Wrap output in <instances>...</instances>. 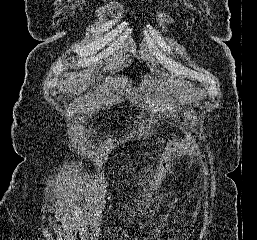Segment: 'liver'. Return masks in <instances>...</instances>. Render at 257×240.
I'll list each match as a JSON object with an SVG mask.
<instances>
[{"label":"liver","mask_w":257,"mask_h":240,"mask_svg":"<svg viewBox=\"0 0 257 240\" xmlns=\"http://www.w3.org/2000/svg\"><path fill=\"white\" fill-rule=\"evenodd\" d=\"M90 73V70L68 73L67 78L63 83L64 90L66 92H73L74 90L85 91L87 84L84 80L90 78Z\"/></svg>","instance_id":"1"}]
</instances>
